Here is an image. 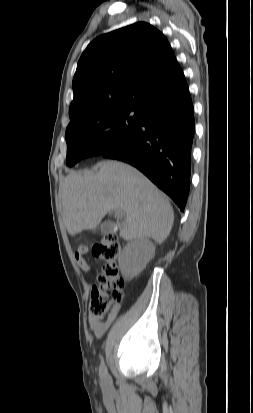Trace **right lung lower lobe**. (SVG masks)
<instances>
[{"label":"right lung lower lobe","instance_id":"obj_1","mask_svg":"<svg viewBox=\"0 0 253 413\" xmlns=\"http://www.w3.org/2000/svg\"><path fill=\"white\" fill-rule=\"evenodd\" d=\"M143 110L141 126L101 155L138 168L184 211L195 132L190 93L152 102Z\"/></svg>","mask_w":253,"mask_h":413}]
</instances>
